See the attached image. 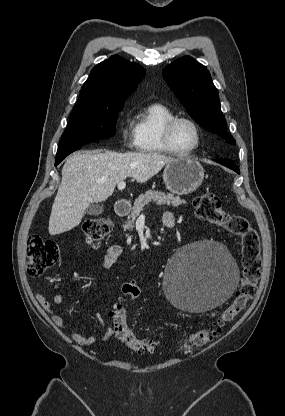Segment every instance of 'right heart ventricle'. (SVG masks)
I'll return each instance as SVG.
<instances>
[{
  "label": "right heart ventricle",
  "mask_w": 285,
  "mask_h": 416,
  "mask_svg": "<svg viewBox=\"0 0 285 416\" xmlns=\"http://www.w3.org/2000/svg\"><path fill=\"white\" fill-rule=\"evenodd\" d=\"M175 116L172 109L161 101H154L142 109L135 118L137 149L148 154L168 153L162 139L163 126Z\"/></svg>",
  "instance_id": "right-heart-ventricle-1"
}]
</instances>
